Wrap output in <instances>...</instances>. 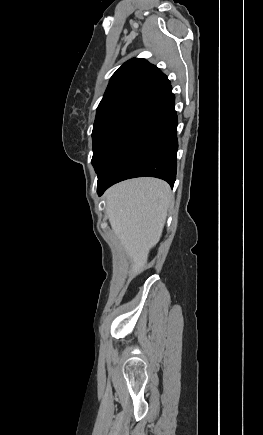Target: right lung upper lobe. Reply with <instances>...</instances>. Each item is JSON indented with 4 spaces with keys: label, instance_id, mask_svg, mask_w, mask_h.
Segmentation results:
<instances>
[{
    "label": "right lung upper lobe",
    "instance_id": "cb5924a9",
    "mask_svg": "<svg viewBox=\"0 0 263 435\" xmlns=\"http://www.w3.org/2000/svg\"><path fill=\"white\" fill-rule=\"evenodd\" d=\"M169 86L170 81L156 66L133 58L113 74L98 108L118 103L144 105Z\"/></svg>",
    "mask_w": 263,
    "mask_h": 435
}]
</instances>
